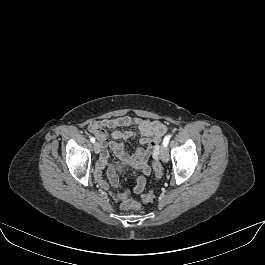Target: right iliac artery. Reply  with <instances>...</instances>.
Segmentation results:
<instances>
[{
    "instance_id": "right-iliac-artery-1",
    "label": "right iliac artery",
    "mask_w": 265,
    "mask_h": 265,
    "mask_svg": "<svg viewBox=\"0 0 265 265\" xmlns=\"http://www.w3.org/2000/svg\"><path fill=\"white\" fill-rule=\"evenodd\" d=\"M90 141H91L92 143H95V138H94V137H90Z\"/></svg>"
}]
</instances>
